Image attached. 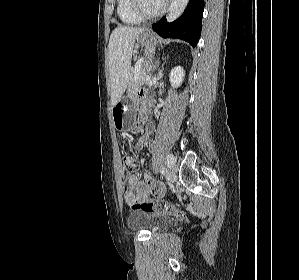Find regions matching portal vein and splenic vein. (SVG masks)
Here are the masks:
<instances>
[{
    "label": "portal vein and splenic vein",
    "instance_id": "18ae733b",
    "mask_svg": "<svg viewBox=\"0 0 299 280\" xmlns=\"http://www.w3.org/2000/svg\"><path fill=\"white\" fill-rule=\"evenodd\" d=\"M142 62H143V61H141V62L135 67V80H138V78H139V76H140Z\"/></svg>",
    "mask_w": 299,
    "mask_h": 280
}]
</instances>
